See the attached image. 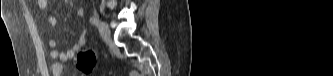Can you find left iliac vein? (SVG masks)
I'll return each instance as SVG.
<instances>
[{"label": "left iliac vein", "mask_w": 333, "mask_h": 76, "mask_svg": "<svg viewBox=\"0 0 333 76\" xmlns=\"http://www.w3.org/2000/svg\"><path fill=\"white\" fill-rule=\"evenodd\" d=\"M99 33L104 40L110 39L111 32L107 23L100 22L99 24Z\"/></svg>", "instance_id": "4c4485c4"}]
</instances>
